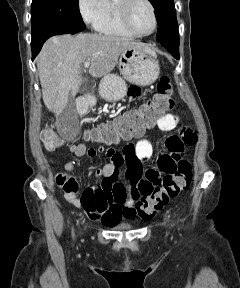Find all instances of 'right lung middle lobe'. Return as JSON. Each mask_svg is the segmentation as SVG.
Wrapping results in <instances>:
<instances>
[{"label":"right lung middle lobe","mask_w":240,"mask_h":288,"mask_svg":"<svg viewBox=\"0 0 240 288\" xmlns=\"http://www.w3.org/2000/svg\"><path fill=\"white\" fill-rule=\"evenodd\" d=\"M79 0H32V40L36 43L48 30L56 27L85 29L79 11Z\"/></svg>","instance_id":"1"}]
</instances>
